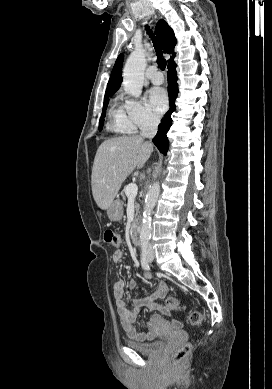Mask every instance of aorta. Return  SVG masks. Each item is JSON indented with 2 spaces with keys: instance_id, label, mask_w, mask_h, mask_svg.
<instances>
[{
  "instance_id": "762f6f07",
  "label": "aorta",
  "mask_w": 272,
  "mask_h": 389,
  "mask_svg": "<svg viewBox=\"0 0 272 389\" xmlns=\"http://www.w3.org/2000/svg\"><path fill=\"white\" fill-rule=\"evenodd\" d=\"M145 67V51L142 48H136L128 57L123 69L124 90L135 98H139L142 93ZM159 193L160 184L157 181L152 184L145 198L143 218L140 226V241L143 243H147L151 238V215Z\"/></svg>"
}]
</instances>
